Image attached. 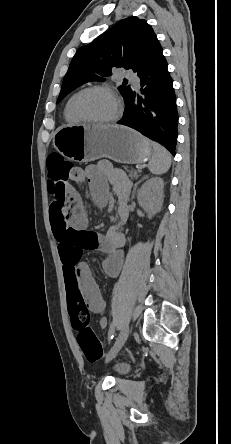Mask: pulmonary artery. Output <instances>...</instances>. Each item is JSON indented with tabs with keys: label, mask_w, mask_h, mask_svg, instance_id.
<instances>
[{
	"label": "pulmonary artery",
	"mask_w": 231,
	"mask_h": 444,
	"mask_svg": "<svg viewBox=\"0 0 231 444\" xmlns=\"http://www.w3.org/2000/svg\"><path fill=\"white\" fill-rule=\"evenodd\" d=\"M127 80L132 81L135 85L138 84V78L136 75L132 74L131 72H126L124 76Z\"/></svg>",
	"instance_id": "1"
}]
</instances>
